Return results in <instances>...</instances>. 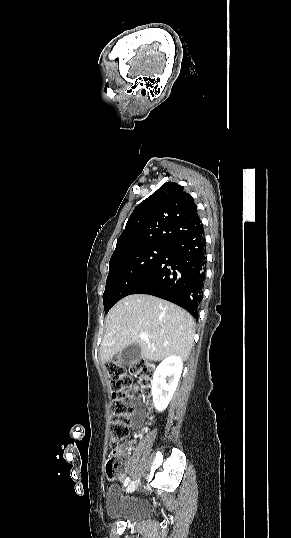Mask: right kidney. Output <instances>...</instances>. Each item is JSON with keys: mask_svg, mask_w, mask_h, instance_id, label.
<instances>
[{"mask_svg": "<svg viewBox=\"0 0 291 538\" xmlns=\"http://www.w3.org/2000/svg\"><path fill=\"white\" fill-rule=\"evenodd\" d=\"M182 369L183 362L178 355L166 357L156 368L152 380V396L157 411L165 410L171 401Z\"/></svg>", "mask_w": 291, "mask_h": 538, "instance_id": "1", "label": "right kidney"}]
</instances>
